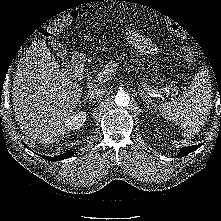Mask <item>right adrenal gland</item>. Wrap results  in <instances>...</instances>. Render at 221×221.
<instances>
[{
    "label": "right adrenal gland",
    "instance_id": "obj_1",
    "mask_svg": "<svg viewBox=\"0 0 221 221\" xmlns=\"http://www.w3.org/2000/svg\"><path fill=\"white\" fill-rule=\"evenodd\" d=\"M85 100H88L89 102H93V103H94V101H92V98H88V96H85V97L83 98V100L80 101V104H81L82 102H85ZM79 107H81V105H80Z\"/></svg>",
    "mask_w": 221,
    "mask_h": 221
}]
</instances>
